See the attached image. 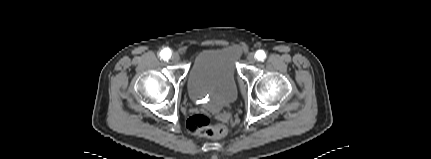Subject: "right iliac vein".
<instances>
[{
    "label": "right iliac vein",
    "mask_w": 431,
    "mask_h": 159,
    "mask_svg": "<svg viewBox=\"0 0 431 159\" xmlns=\"http://www.w3.org/2000/svg\"><path fill=\"white\" fill-rule=\"evenodd\" d=\"M171 60L175 63H178L180 61V56L178 53H173L171 56Z\"/></svg>",
    "instance_id": "right-iliac-vein-1"
}]
</instances>
